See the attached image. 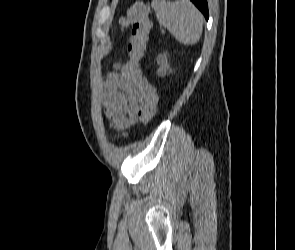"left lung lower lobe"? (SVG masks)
Listing matches in <instances>:
<instances>
[{"mask_svg": "<svg viewBox=\"0 0 295 250\" xmlns=\"http://www.w3.org/2000/svg\"><path fill=\"white\" fill-rule=\"evenodd\" d=\"M197 8L204 14L205 18L208 19V5L207 0H191Z\"/></svg>", "mask_w": 295, "mask_h": 250, "instance_id": "left-lung-lower-lobe-1", "label": "left lung lower lobe"}]
</instances>
